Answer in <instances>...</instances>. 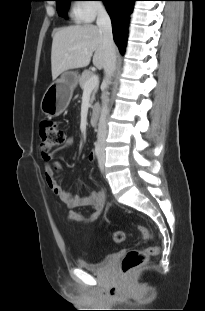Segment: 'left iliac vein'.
I'll use <instances>...</instances> for the list:
<instances>
[{"label": "left iliac vein", "mask_w": 205, "mask_h": 311, "mask_svg": "<svg viewBox=\"0 0 205 311\" xmlns=\"http://www.w3.org/2000/svg\"><path fill=\"white\" fill-rule=\"evenodd\" d=\"M100 154H99V157H98V163H99V166L101 169L104 168V162H105V151H104V145L103 144H100Z\"/></svg>", "instance_id": "left-iliac-vein-1"}]
</instances>
